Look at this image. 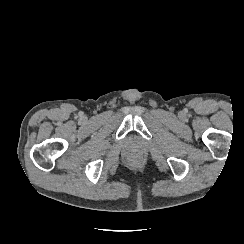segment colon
<instances>
[{
  "label": "colon",
  "instance_id": "1",
  "mask_svg": "<svg viewBox=\"0 0 244 244\" xmlns=\"http://www.w3.org/2000/svg\"><path fill=\"white\" fill-rule=\"evenodd\" d=\"M129 164H130V166L135 167V166H137L138 161H137V159L132 158V159H130Z\"/></svg>",
  "mask_w": 244,
  "mask_h": 244
}]
</instances>
